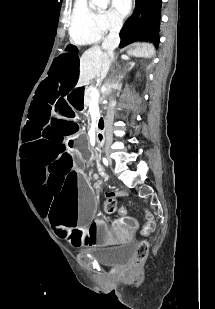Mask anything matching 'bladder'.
I'll list each match as a JSON object with an SVG mask.
<instances>
[{"label":"bladder","mask_w":215,"mask_h":309,"mask_svg":"<svg viewBox=\"0 0 215 309\" xmlns=\"http://www.w3.org/2000/svg\"><path fill=\"white\" fill-rule=\"evenodd\" d=\"M136 254V247L128 244L115 251L95 256L97 261L108 267H121L132 261Z\"/></svg>","instance_id":"1"}]
</instances>
